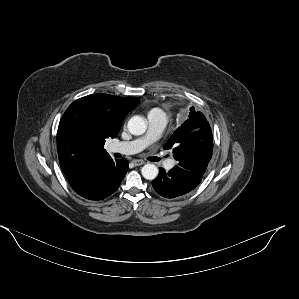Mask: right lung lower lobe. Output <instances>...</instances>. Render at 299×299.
Returning a JSON list of instances; mask_svg holds the SVG:
<instances>
[{"mask_svg": "<svg viewBox=\"0 0 299 299\" xmlns=\"http://www.w3.org/2000/svg\"><path fill=\"white\" fill-rule=\"evenodd\" d=\"M125 158L113 160L108 158L90 167L85 177L73 189L89 200H101L111 195L120 185L128 170Z\"/></svg>", "mask_w": 299, "mask_h": 299, "instance_id": "right-lung-lower-lobe-1", "label": "right lung lower lobe"}]
</instances>
